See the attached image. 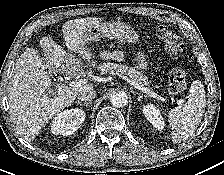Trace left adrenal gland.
Wrapping results in <instances>:
<instances>
[{
	"label": "left adrenal gland",
	"mask_w": 224,
	"mask_h": 175,
	"mask_svg": "<svg viewBox=\"0 0 224 175\" xmlns=\"http://www.w3.org/2000/svg\"><path fill=\"white\" fill-rule=\"evenodd\" d=\"M132 93L135 94V95H138V101H140L142 97H147V95H143V94H140L138 92L132 91Z\"/></svg>",
	"instance_id": "obj_1"
}]
</instances>
